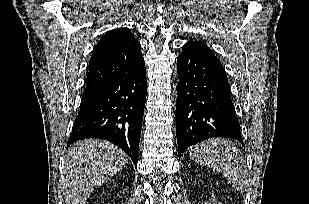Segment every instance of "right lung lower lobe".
I'll list each match as a JSON object with an SVG mask.
<instances>
[{
  "label": "right lung lower lobe",
  "instance_id": "98d812e1",
  "mask_svg": "<svg viewBox=\"0 0 309 204\" xmlns=\"http://www.w3.org/2000/svg\"><path fill=\"white\" fill-rule=\"evenodd\" d=\"M145 100V66L84 91L68 145L85 138L105 139L120 147L137 166Z\"/></svg>",
  "mask_w": 309,
  "mask_h": 204
}]
</instances>
